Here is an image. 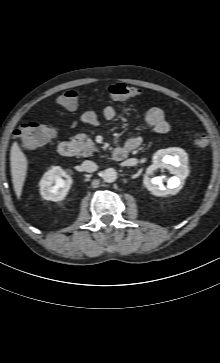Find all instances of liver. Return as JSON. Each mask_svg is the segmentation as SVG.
<instances>
[{
    "instance_id": "6515ba94",
    "label": "liver",
    "mask_w": 220,
    "mask_h": 363,
    "mask_svg": "<svg viewBox=\"0 0 220 363\" xmlns=\"http://www.w3.org/2000/svg\"><path fill=\"white\" fill-rule=\"evenodd\" d=\"M11 175L15 194L21 198L24 182L26 179L28 160L17 142H14L10 150Z\"/></svg>"
}]
</instances>
